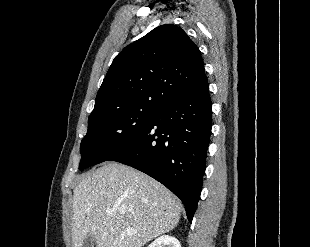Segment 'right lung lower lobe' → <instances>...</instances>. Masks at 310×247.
<instances>
[{
	"instance_id": "obj_1",
	"label": "right lung lower lobe",
	"mask_w": 310,
	"mask_h": 247,
	"mask_svg": "<svg viewBox=\"0 0 310 247\" xmlns=\"http://www.w3.org/2000/svg\"><path fill=\"white\" fill-rule=\"evenodd\" d=\"M212 128L208 83L160 107L138 136L107 161L153 177L185 205L192 222L202 189Z\"/></svg>"
}]
</instances>
